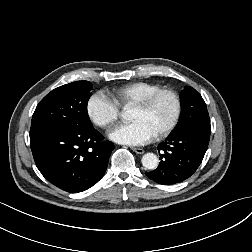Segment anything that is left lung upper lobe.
<instances>
[{
	"mask_svg": "<svg viewBox=\"0 0 252 252\" xmlns=\"http://www.w3.org/2000/svg\"><path fill=\"white\" fill-rule=\"evenodd\" d=\"M181 116L171 134H177L193 126H209L210 118L201 95L192 87H185L180 95Z\"/></svg>",
	"mask_w": 252,
	"mask_h": 252,
	"instance_id": "1",
	"label": "left lung upper lobe"
}]
</instances>
